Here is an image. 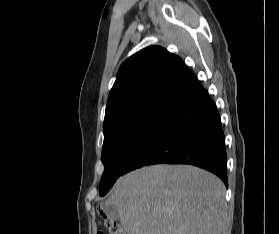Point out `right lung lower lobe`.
<instances>
[{"mask_svg": "<svg viewBox=\"0 0 279 234\" xmlns=\"http://www.w3.org/2000/svg\"><path fill=\"white\" fill-rule=\"evenodd\" d=\"M158 163L195 165L213 172L228 186L220 116L199 81L168 108L136 148L123 174Z\"/></svg>", "mask_w": 279, "mask_h": 234, "instance_id": "1", "label": "right lung lower lobe"}]
</instances>
